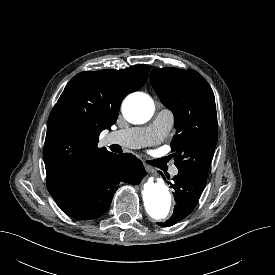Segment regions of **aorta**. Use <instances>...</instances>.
<instances>
[{
	"mask_svg": "<svg viewBox=\"0 0 275 275\" xmlns=\"http://www.w3.org/2000/svg\"><path fill=\"white\" fill-rule=\"evenodd\" d=\"M154 111V101L144 93L129 96L122 105L123 116L133 124L147 122ZM142 197L145 210L151 218L155 220L167 218L172 209V197L162 178H148L143 185Z\"/></svg>",
	"mask_w": 275,
	"mask_h": 275,
	"instance_id": "762f6f07",
	"label": "aorta"
}]
</instances>
